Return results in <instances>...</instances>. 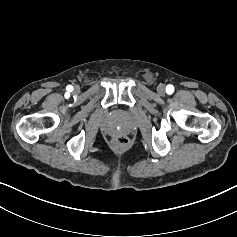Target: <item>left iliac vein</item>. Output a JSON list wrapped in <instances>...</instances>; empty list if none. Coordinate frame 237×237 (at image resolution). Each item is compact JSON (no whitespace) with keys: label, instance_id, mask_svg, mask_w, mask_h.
I'll use <instances>...</instances> for the list:
<instances>
[{"label":"left iliac vein","instance_id":"4c4485c4","mask_svg":"<svg viewBox=\"0 0 237 237\" xmlns=\"http://www.w3.org/2000/svg\"><path fill=\"white\" fill-rule=\"evenodd\" d=\"M157 92L159 94H164L165 93V86L164 84H159L158 87H157Z\"/></svg>","mask_w":237,"mask_h":237}]
</instances>
